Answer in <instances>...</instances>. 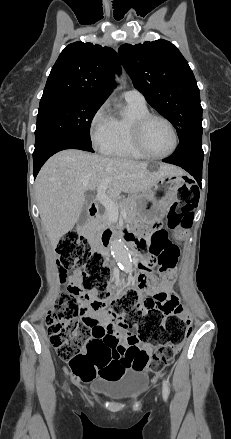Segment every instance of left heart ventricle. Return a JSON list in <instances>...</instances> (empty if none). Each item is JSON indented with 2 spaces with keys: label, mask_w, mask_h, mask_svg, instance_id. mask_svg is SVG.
I'll return each instance as SVG.
<instances>
[{
  "label": "left heart ventricle",
  "mask_w": 231,
  "mask_h": 439,
  "mask_svg": "<svg viewBox=\"0 0 231 439\" xmlns=\"http://www.w3.org/2000/svg\"><path fill=\"white\" fill-rule=\"evenodd\" d=\"M144 142L151 153L161 155L170 151L174 140L169 126L162 120L153 119L145 128Z\"/></svg>",
  "instance_id": "1"
}]
</instances>
